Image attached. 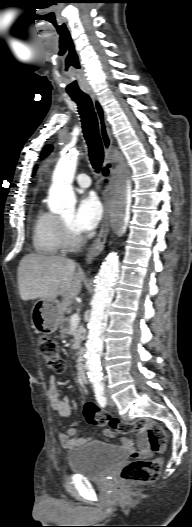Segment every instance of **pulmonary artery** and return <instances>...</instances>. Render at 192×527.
<instances>
[{
    "label": "pulmonary artery",
    "instance_id": "pulmonary-artery-1",
    "mask_svg": "<svg viewBox=\"0 0 192 527\" xmlns=\"http://www.w3.org/2000/svg\"><path fill=\"white\" fill-rule=\"evenodd\" d=\"M77 184L82 188H87L91 185V179L87 174L81 173L76 176Z\"/></svg>",
    "mask_w": 192,
    "mask_h": 527
}]
</instances>
